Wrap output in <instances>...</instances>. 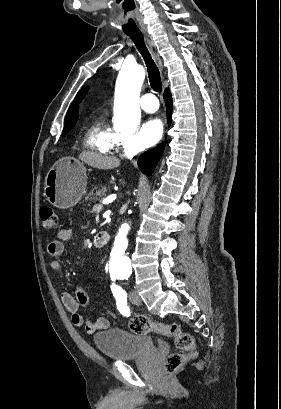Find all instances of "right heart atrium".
<instances>
[{"label":"right heart atrium","mask_w":281,"mask_h":409,"mask_svg":"<svg viewBox=\"0 0 281 409\" xmlns=\"http://www.w3.org/2000/svg\"><path fill=\"white\" fill-rule=\"evenodd\" d=\"M127 118V126L131 128L135 122H139L140 114L124 115ZM122 145L129 151L136 152L142 149V144L137 137H120Z\"/></svg>","instance_id":"right-heart-atrium-1"}]
</instances>
